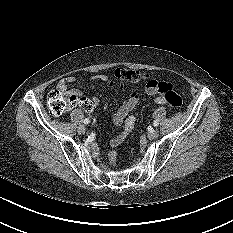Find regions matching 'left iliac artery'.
Instances as JSON below:
<instances>
[{"mask_svg": "<svg viewBox=\"0 0 233 233\" xmlns=\"http://www.w3.org/2000/svg\"><path fill=\"white\" fill-rule=\"evenodd\" d=\"M153 125H154L155 127H157V126L159 125L158 121L155 120V121L153 122Z\"/></svg>", "mask_w": 233, "mask_h": 233, "instance_id": "obj_1", "label": "left iliac artery"}]
</instances>
